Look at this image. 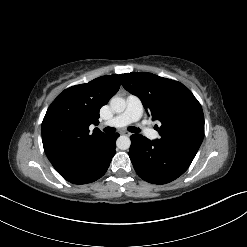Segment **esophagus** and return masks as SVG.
Masks as SVG:
<instances>
[{
	"label": "esophagus",
	"instance_id": "esophagus-1",
	"mask_svg": "<svg viewBox=\"0 0 247 247\" xmlns=\"http://www.w3.org/2000/svg\"><path fill=\"white\" fill-rule=\"evenodd\" d=\"M121 134L126 135V136H131V133L128 131H121Z\"/></svg>",
	"mask_w": 247,
	"mask_h": 247
}]
</instances>
